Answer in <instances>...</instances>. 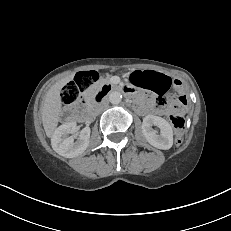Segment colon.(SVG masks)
<instances>
[{
  "label": "colon",
  "mask_w": 231,
  "mask_h": 231,
  "mask_svg": "<svg viewBox=\"0 0 231 231\" xmlns=\"http://www.w3.org/2000/svg\"><path fill=\"white\" fill-rule=\"evenodd\" d=\"M133 80L135 84L139 87L142 86L144 77L139 73L135 72L133 75ZM99 74L95 71L83 72L77 75L73 82H70L66 86H64L62 90V101L65 105H70L74 103L78 97L89 89L94 83L99 80ZM166 99L163 97L158 98V105L165 106ZM188 105L187 98L184 95H180L176 98L175 107H179L181 109H185ZM170 120L175 129V142L176 144H181L183 140V135L185 131V120L181 115L172 114L170 116Z\"/></svg>",
  "instance_id": "1"
}]
</instances>
